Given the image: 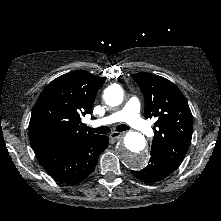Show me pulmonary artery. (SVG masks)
Returning a JSON list of instances; mask_svg holds the SVG:
<instances>
[{
  "instance_id": "pulmonary-artery-1",
  "label": "pulmonary artery",
  "mask_w": 221,
  "mask_h": 221,
  "mask_svg": "<svg viewBox=\"0 0 221 221\" xmlns=\"http://www.w3.org/2000/svg\"><path fill=\"white\" fill-rule=\"evenodd\" d=\"M121 121L127 122L130 126L145 135L152 134V129L149 124L140 116V102L135 97L130 98L123 109L101 119L93 121L92 125H109Z\"/></svg>"
}]
</instances>
